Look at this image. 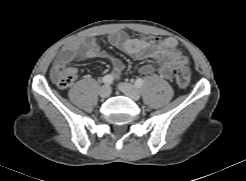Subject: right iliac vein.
I'll return each mask as SVG.
<instances>
[{"label":"right iliac vein","mask_w":246,"mask_h":181,"mask_svg":"<svg viewBox=\"0 0 246 181\" xmlns=\"http://www.w3.org/2000/svg\"><path fill=\"white\" fill-rule=\"evenodd\" d=\"M111 93V88L109 85H103L99 90V95L102 98H107Z\"/></svg>","instance_id":"right-iliac-vein-1"}]
</instances>
